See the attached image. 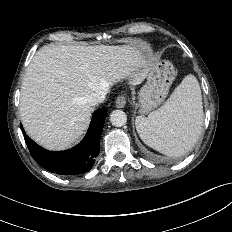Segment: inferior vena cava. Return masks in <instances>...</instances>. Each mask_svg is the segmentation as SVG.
<instances>
[{
	"label": "inferior vena cava",
	"mask_w": 232,
	"mask_h": 232,
	"mask_svg": "<svg viewBox=\"0 0 232 232\" xmlns=\"http://www.w3.org/2000/svg\"><path fill=\"white\" fill-rule=\"evenodd\" d=\"M109 88H101L96 92H93L92 94H90L87 97V102L88 104H90L91 106L93 105H97L100 103H103L106 97V94L108 93Z\"/></svg>",
	"instance_id": "obj_1"
}]
</instances>
